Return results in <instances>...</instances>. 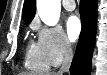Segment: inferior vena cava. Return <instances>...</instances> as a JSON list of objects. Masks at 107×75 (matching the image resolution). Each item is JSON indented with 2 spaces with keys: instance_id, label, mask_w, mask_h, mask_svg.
<instances>
[{
  "instance_id": "inferior-vena-cava-1",
  "label": "inferior vena cava",
  "mask_w": 107,
  "mask_h": 75,
  "mask_svg": "<svg viewBox=\"0 0 107 75\" xmlns=\"http://www.w3.org/2000/svg\"><path fill=\"white\" fill-rule=\"evenodd\" d=\"M72 58H73V51H72L71 45L69 42H65L62 66L57 73L58 75H63L64 73L69 72Z\"/></svg>"
}]
</instances>
